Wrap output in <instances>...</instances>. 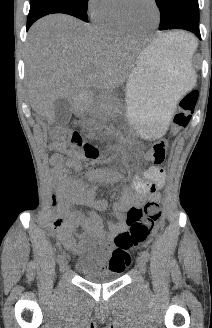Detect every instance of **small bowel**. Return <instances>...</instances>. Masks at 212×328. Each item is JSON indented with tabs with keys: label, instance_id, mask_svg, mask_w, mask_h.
<instances>
[{
	"label": "small bowel",
	"instance_id": "1",
	"mask_svg": "<svg viewBox=\"0 0 212 328\" xmlns=\"http://www.w3.org/2000/svg\"><path fill=\"white\" fill-rule=\"evenodd\" d=\"M51 149L57 151L50 157V163L53 167L52 174L58 184L62 187V202L64 205H85L91 208V211L84 213L82 211H71L69 213V222L64 224L62 219H57V227L80 226L84 234L80 236L76 250L79 252L90 251L92 257L101 265H107L109 269L123 271L124 266L110 264V258L107 257L111 240L117 234L124 232L128 226L126 213L132 207L142 206L146 201L157 202L159 200V191L165 181V170L160 166H151L145 175L141 178L135 177L130 181L119 172L109 170H91L82 177H77L81 171L79 158L80 152L71 150V157L66 159L62 153L64 146L51 145ZM73 170L74 173H70ZM112 182L122 186V194L118 201L111 206L112 214L115 220L105 225L100 212L107 209L105 200L96 199V183ZM68 245H73L71 241Z\"/></svg>",
	"mask_w": 212,
	"mask_h": 328
}]
</instances>
